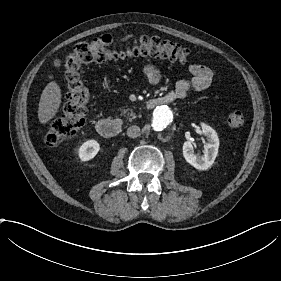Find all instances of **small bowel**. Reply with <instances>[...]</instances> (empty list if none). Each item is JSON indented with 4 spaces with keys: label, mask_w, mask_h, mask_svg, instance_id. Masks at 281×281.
<instances>
[{
    "label": "small bowel",
    "mask_w": 281,
    "mask_h": 281,
    "mask_svg": "<svg viewBox=\"0 0 281 281\" xmlns=\"http://www.w3.org/2000/svg\"><path fill=\"white\" fill-rule=\"evenodd\" d=\"M126 41V36L117 38L118 44H123ZM191 76L177 82L172 92L165 95L154 96L157 99V104L173 103L177 99L183 100L187 97L188 93L192 90H204L213 80L212 71L204 66L193 64L189 68ZM144 74L149 84L157 85L161 80L159 70L154 64H146L144 67ZM155 107V106H154Z\"/></svg>",
    "instance_id": "small-bowel-1"
}]
</instances>
